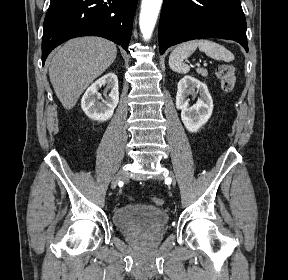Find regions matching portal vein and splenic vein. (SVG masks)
I'll return each instance as SVG.
<instances>
[{"mask_svg":"<svg viewBox=\"0 0 288 280\" xmlns=\"http://www.w3.org/2000/svg\"><path fill=\"white\" fill-rule=\"evenodd\" d=\"M197 66H200L199 63L196 64ZM203 66H207V63H204Z\"/></svg>","mask_w":288,"mask_h":280,"instance_id":"18ae733b","label":"portal vein and splenic vein"}]
</instances>
